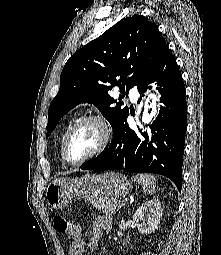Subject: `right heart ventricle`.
I'll return each mask as SVG.
<instances>
[{"mask_svg": "<svg viewBox=\"0 0 221 255\" xmlns=\"http://www.w3.org/2000/svg\"><path fill=\"white\" fill-rule=\"evenodd\" d=\"M75 121H76V118H71V119H69V120L65 123V125H64V127H63V129H62V131H61V134H60V138H59V152H60L61 159H62V162H63V163H65L64 160H63V158H62V153H61L63 140H64V138H65V136H66L68 130L72 127V125L75 123Z\"/></svg>", "mask_w": 221, "mask_h": 255, "instance_id": "1", "label": "right heart ventricle"}]
</instances>
